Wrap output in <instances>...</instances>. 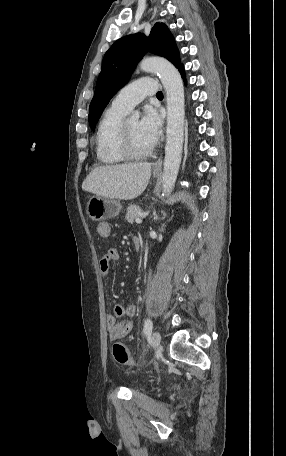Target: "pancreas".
Masks as SVG:
<instances>
[{
    "label": "pancreas",
    "mask_w": 286,
    "mask_h": 456,
    "mask_svg": "<svg viewBox=\"0 0 286 456\" xmlns=\"http://www.w3.org/2000/svg\"><path fill=\"white\" fill-rule=\"evenodd\" d=\"M141 212H142V210L138 205H130L127 208V213H126L125 219L129 223H133L134 220L140 215Z\"/></svg>",
    "instance_id": "cf45deb5"
}]
</instances>
